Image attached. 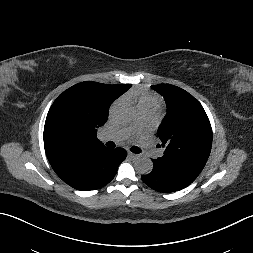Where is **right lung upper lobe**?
<instances>
[{"mask_svg":"<svg viewBox=\"0 0 253 253\" xmlns=\"http://www.w3.org/2000/svg\"><path fill=\"white\" fill-rule=\"evenodd\" d=\"M131 84L109 85L97 82H81L65 90L51 106L44 126V147L50 163L82 151H90L105 147L96 138V132H76L63 134L58 132L52 124L58 106L67 100L82 103L104 101L112 104L119 96L125 93Z\"/></svg>","mask_w":253,"mask_h":253,"instance_id":"right-lung-upper-lobe-1","label":"right lung upper lobe"}]
</instances>
